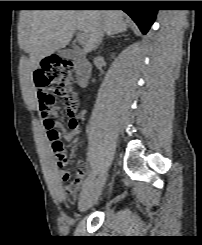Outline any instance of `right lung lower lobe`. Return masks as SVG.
I'll use <instances>...</instances> for the list:
<instances>
[{
	"label": "right lung lower lobe",
	"instance_id": "obj_1",
	"mask_svg": "<svg viewBox=\"0 0 202 245\" xmlns=\"http://www.w3.org/2000/svg\"><path fill=\"white\" fill-rule=\"evenodd\" d=\"M81 7H122L138 25L143 34H146L153 24L157 9L151 1H80Z\"/></svg>",
	"mask_w": 202,
	"mask_h": 245
}]
</instances>
